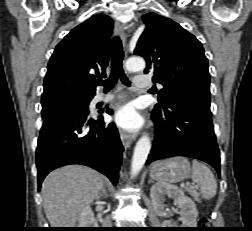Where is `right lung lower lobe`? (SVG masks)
I'll return each instance as SVG.
<instances>
[{
	"mask_svg": "<svg viewBox=\"0 0 252 231\" xmlns=\"http://www.w3.org/2000/svg\"><path fill=\"white\" fill-rule=\"evenodd\" d=\"M92 97L90 98V100ZM112 114L111 110L106 111ZM123 146L114 123L106 125L101 113H65L43 122L36 165L38 184L52 170L69 164H81L106 175L114 185L122 159Z\"/></svg>",
	"mask_w": 252,
	"mask_h": 231,
	"instance_id": "right-lung-lower-lobe-1",
	"label": "right lung lower lobe"
}]
</instances>
